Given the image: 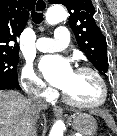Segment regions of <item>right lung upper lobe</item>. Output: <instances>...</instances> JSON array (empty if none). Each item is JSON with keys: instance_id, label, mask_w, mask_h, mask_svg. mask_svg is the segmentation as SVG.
I'll use <instances>...</instances> for the list:
<instances>
[{"instance_id": "obj_1", "label": "right lung upper lobe", "mask_w": 117, "mask_h": 136, "mask_svg": "<svg viewBox=\"0 0 117 136\" xmlns=\"http://www.w3.org/2000/svg\"><path fill=\"white\" fill-rule=\"evenodd\" d=\"M36 0H0V56H14L19 53L16 41L29 18V11Z\"/></svg>"}]
</instances>
